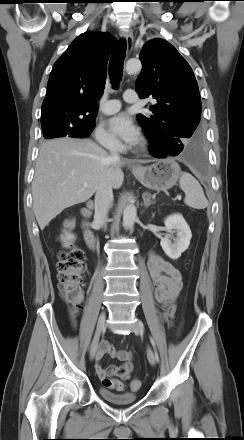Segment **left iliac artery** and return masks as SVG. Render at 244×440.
<instances>
[{
	"instance_id": "1",
	"label": "left iliac artery",
	"mask_w": 244,
	"mask_h": 440,
	"mask_svg": "<svg viewBox=\"0 0 244 440\" xmlns=\"http://www.w3.org/2000/svg\"><path fill=\"white\" fill-rule=\"evenodd\" d=\"M150 341H151L152 345L155 347L154 340L151 337H150ZM154 357H155V361L159 362V356H158L157 351H155V356Z\"/></svg>"
}]
</instances>
